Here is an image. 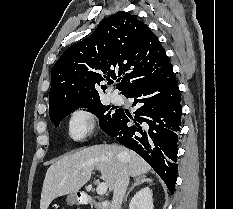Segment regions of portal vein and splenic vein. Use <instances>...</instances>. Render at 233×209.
Instances as JSON below:
<instances>
[{"label": "portal vein and splenic vein", "mask_w": 233, "mask_h": 209, "mask_svg": "<svg viewBox=\"0 0 233 209\" xmlns=\"http://www.w3.org/2000/svg\"><path fill=\"white\" fill-rule=\"evenodd\" d=\"M107 189H108L107 184L102 182V183L98 184L96 191H97L98 195L102 196L107 192Z\"/></svg>", "instance_id": "obj_1"}]
</instances>
